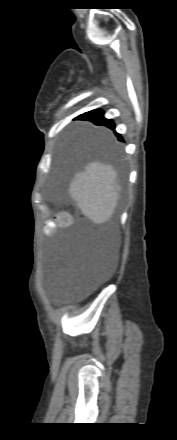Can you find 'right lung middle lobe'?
<instances>
[{"label": "right lung middle lobe", "instance_id": "1", "mask_svg": "<svg viewBox=\"0 0 177 440\" xmlns=\"http://www.w3.org/2000/svg\"><path fill=\"white\" fill-rule=\"evenodd\" d=\"M87 144L102 146L104 145V140L99 135L93 134L87 139Z\"/></svg>", "mask_w": 177, "mask_h": 440}]
</instances>
